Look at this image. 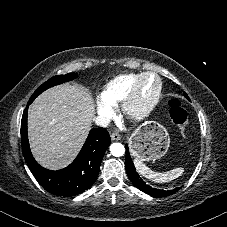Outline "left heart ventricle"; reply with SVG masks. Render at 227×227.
Returning a JSON list of instances; mask_svg holds the SVG:
<instances>
[{"label": "left heart ventricle", "mask_w": 227, "mask_h": 227, "mask_svg": "<svg viewBox=\"0 0 227 227\" xmlns=\"http://www.w3.org/2000/svg\"><path fill=\"white\" fill-rule=\"evenodd\" d=\"M155 90V82L152 79H146L141 87L142 99L149 98Z\"/></svg>", "instance_id": "b2bd125f"}]
</instances>
